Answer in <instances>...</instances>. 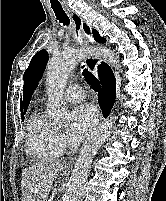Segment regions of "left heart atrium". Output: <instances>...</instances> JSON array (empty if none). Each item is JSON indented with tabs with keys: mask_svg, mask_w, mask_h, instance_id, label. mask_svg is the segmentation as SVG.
<instances>
[{
	"mask_svg": "<svg viewBox=\"0 0 166 201\" xmlns=\"http://www.w3.org/2000/svg\"><path fill=\"white\" fill-rule=\"evenodd\" d=\"M97 121L95 109L89 104H82L73 109L69 136L73 143H79Z\"/></svg>",
	"mask_w": 166,
	"mask_h": 201,
	"instance_id": "left-heart-atrium-1",
	"label": "left heart atrium"
}]
</instances>
